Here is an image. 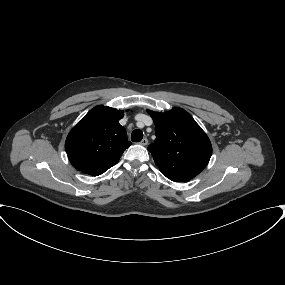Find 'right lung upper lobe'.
<instances>
[{"mask_svg": "<svg viewBox=\"0 0 285 285\" xmlns=\"http://www.w3.org/2000/svg\"><path fill=\"white\" fill-rule=\"evenodd\" d=\"M123 116L122 110L96 106L70 131L65 150L77 170L98 176L119 161L131 145L119 124Z\"/></svg>", "mask_w": 285, "mask_h": 285, "instance_id": "right-lung-upper-lobe-1", "label": "right lung upper lobe"}]
</instances>
